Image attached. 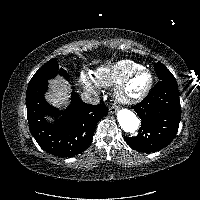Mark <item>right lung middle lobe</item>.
<instances>
[{
  "label": "right lung middle lobe",
  "mask_w": 200,
  "mask_h": 200,
  "mask_svg": "<svg viewBox=\"0 0 200 200\" xmlns=\"http://www.w3.org/2000/svg\"><path fill=\"white\" fill-rule=\"evenodd\" d=\"M57 74L63 76L65 79H68L67 72L59 67L57 60L51 59L34 74L29 82V85L36 82L47 81L48 79L55 77Z\"/></svg>",
  "instance_id": "obj_1"
}]
</instances>
